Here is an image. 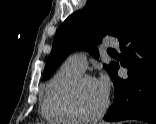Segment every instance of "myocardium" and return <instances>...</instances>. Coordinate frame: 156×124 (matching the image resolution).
<instances>
[{
    "label": "myocardium",
    "mask_w": 156,
    "mask_h": 124,
    "mask_svg": "<svg viewBox=\"0 0 156 124\" xmlns=\"http://www.w3.org/2000/svg\"><path fill=\"white\" fill-rule=\"evenodd\" d=\"M86 80H95V78L87 74H81L69 85L63 98L66 109L77 121L81 122L94 121L101 118L109 107V97L107 96L101 109L94 114H86L79 108L77 94L81 84Z\"/></svg>",
    "instance_id": "obj_1"
}]
</instances>
